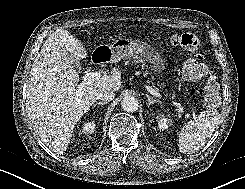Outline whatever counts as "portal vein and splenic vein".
Here are the masks:
<instances>
[{
  "label": "portal vein and splenic vein",
  "mask_w": 245,
  "mask_h": 189,
  "mask_svg": "<svg viewBox=\"0 0 245 189\" xmlns=\"http://www.w3.org/2000/svg\"><path fill=\"white\" fill-rule=\"evenodd\" d=\"M101 77H102V73L101 72H89V73H87L83 77V82L78 86V92H80L87 85H90L93 82L99 80ZM146 89H147L148 92H150V94H152V95H154V96H156L158 98H162V95L159 92H157L154 89H152L150 86H146ZM173 105L179 106V103L173 102Z\"/></svg>",
  "instance_id": "portal-vein-and-splenic-vein-1"
}]
</instances>
